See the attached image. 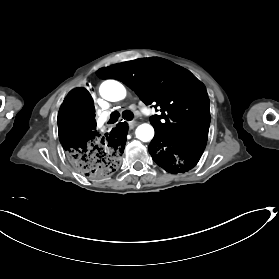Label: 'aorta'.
<instances>
[{
	"instance_id": "1",
	"label": "aorta",
	"mask_w": 279,
	"mask_h": 279,
	"mask_svg": "<svg viewBox=\"0 0 279 279\" xmlns=\"http://www.w3.org/2000/svg\"><path fill=\"white\" fill-rule=\"evenodd\" d=\"M100 95L107 101L116 102L125 98V87L116 80H106L100 86ZM136 137L148 142L154 137V128L147 123L141 124L136 129Z\"/></svg>"
}]
</instances>
